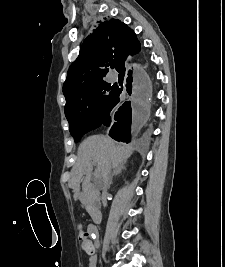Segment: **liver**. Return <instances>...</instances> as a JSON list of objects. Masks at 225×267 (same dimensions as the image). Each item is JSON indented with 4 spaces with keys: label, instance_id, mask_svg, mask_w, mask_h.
Segmentation results:
<instances>
[{
    "label": "liver",
    "instance_id": "liver-1",
    "mask_svg": "<svg viewBox=\"0 0 225 267\" xmlns=\"http://www.w3.org/2000/svg\"><path fill=\"white\" fill-rule=\"evenodd\" d=\"M132 153V147L118 144L108 136L93 135L86 138L78 148V159L69 180L74 199L80 197V180L83 176H85L83 188L89 184L93 164L97 167L96 177L104 179L108 170L125 163Z\"/></svg>",
    "mask_w": 225,
    "mask_h": 267
}]
</instances>
